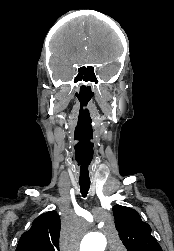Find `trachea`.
I'll list each match as a JSON object with an SVG mask.
<instances>
[{"instance_id": "obj_1", "label": "trachea", "mask_w": 174, "mask_h": 251, "mask_svg": "<svg viewBox=\"0 0 174 251\" xmlns=\"http://www.w3.org/2000/svg\"><path fill=\"white\" fill-rule=\"evenodd\" d=\"M79 185L82 196L86 197L90 188V182H79Z\"/></svg>"}]
</instances>
